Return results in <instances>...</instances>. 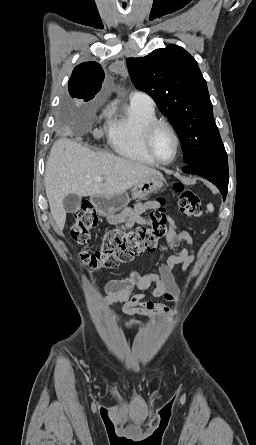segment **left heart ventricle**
<instances>
[{
	"label": "left heart ventricle",
	"instance_id": "obj_1",
	"mask_svg": "<svg viewBox=\"0 0 256 445\" xmlns=\"http://www.w3.org/2000/svg\"><path fill=\"white\" fill-rule=\"evenodd\" d=\"M153 147L158 158L164 161L170 160L176 151V143L171 132L165 128L160 127L155 132L153 138Z\"/></svg>",
	"mask_w": 256,
	"mask_h": 445
}]
</instances>
